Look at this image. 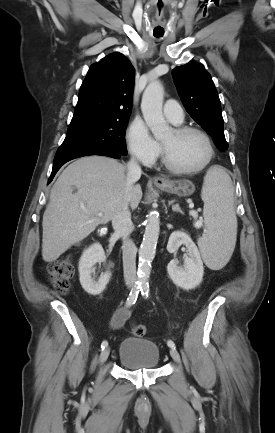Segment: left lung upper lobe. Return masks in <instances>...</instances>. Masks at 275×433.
Wrapping results in <instances>:
<instances>
[{
  "label": "left lung upper lobe",
  "instance_id": "left-lung-upper-lobe-1",
  "mask_svg": "<svg viewBox=\"0 0 275 433\" xmlns=\"http://www.w3.org/2000/svg\"><path fill=\"white\" fill-rule=\"evenodd\" d=\"M172 76L187 112L213 137L220 150H227L221 102L210 74L202 64L189 62L174 68Z\"/></svg>",
  "mask_w": 275,
  "mask_h": 433
}]
</instances>
